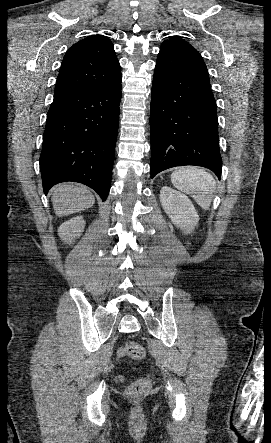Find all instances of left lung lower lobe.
I'll return each instance as SVG.
<instances>
[{"label":"left lung lower lobe","instance_id":"obj_1","mask_svg":"<svg viewBox=\"0 0 271 443\" xmlns=\"http://www.w3.org/2000/svg\"><path fill=\"white\" fill-rule=\"evenodd\" d=\"M150 134L151 178L171 167L196 165L220 179L216 101L196 50L161 46L152 85Z\"/></svg>","mask_w":271,"mask_h":443}]
</instances>
